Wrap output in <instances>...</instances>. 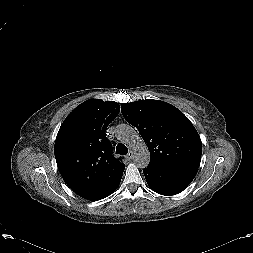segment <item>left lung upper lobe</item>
Here are the masks:
<instances>
[{"label": "left lung upper lobe", "mask_w": 253, "mask_h": 253, "mask_svg": "<svg viewBox=\"0 0 253 253\" xmlns=\"http://www.w3.org/2000/svg\"><path fill=\"white\" fill-rule=\"evenodd\" d=\"M125 120L136 127L150 151V162L199 167L202 143L191 121L160 100L122 103Z\"/></svg>", "instance_id": "1"}]
</instances>
